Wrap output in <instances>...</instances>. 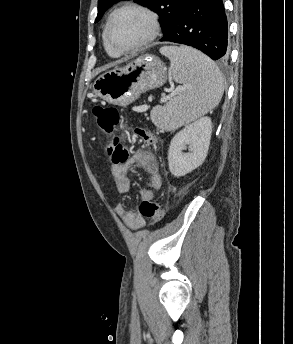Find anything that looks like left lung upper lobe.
<instances>
[{
  "label": "left lung upper lobe",
  "mask_w": 293,
  "mask_h": 344,
  "mask_svg": "<svg viewBox=\"0 0 293 344\" xmlns=\"http://www.w3.org/2000/svg\"><path fill=\"white\" fill-rule=\"evenodd\" d=\"M120 0H98V14L95 22H98L105 11H107L113 4ZM136 3L146 6L155 11L160 16V24L165 35L172 25L179 13V10L185 0H134Z\"/></svg>",
  "instance_id": "obj_1"
}]
</instances>
